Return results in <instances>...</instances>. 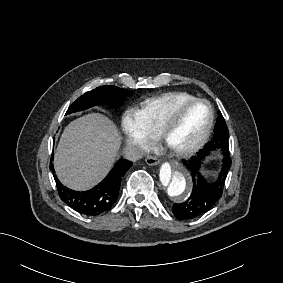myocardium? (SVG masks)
I'll use <instances>...</instances> for the list:
<instances>
[{
    "instance_id": "f54148a6",
    "label": "myocardium",
    "mask_w": 283,
    "mask_h": 283,
    "mask_svg": "<svg viewBox=\"0 0 283 283\" xmlns=\"http://www.w3.org/2000/svg\"><path fill=\"white\" fill-rule=\"evenodd\" d=\"M171 102V100H165L163 105H162V109L158 115V130H157V139L159 141V143L163 146V148L165 150H167L168 152H170L172 155H174L177 158H187L189 156L194 155L195 153H197L208 141V139L210 138L214 123H215V110L213 105L206 99L204 98H194L191 100H187V101H182V102H176L175 105L177 108L182 109V108H186L190 105L193 104H197V103H204L207 105L208 109H209V121L204 129V131L202 132V134L200 135V137L197 139V141L191 145L190 147L180 150V151H173L171 150L168 146H167V137H168V133L166 131L165 128V124H166V117H165V109L167 107V104Z\"/></svg>"
}]
</instances>
